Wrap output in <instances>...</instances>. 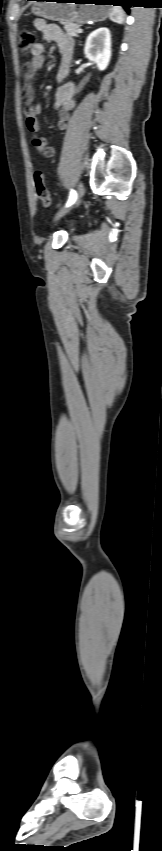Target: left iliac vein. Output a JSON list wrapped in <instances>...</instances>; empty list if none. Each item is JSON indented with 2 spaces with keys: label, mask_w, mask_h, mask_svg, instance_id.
I'll return each instance as SVG.
<instances>
[{
  "label": "left iliac vein",
  "mask_w": 162,
  "mask_h": 851,
  "mask_svg": "<svg viewBox=\"0 0 162 851\" xmlns=\"http://www.w3.org/2000/svg\"><path fill=\"white\" fill-rule=\"evenodd\" d=\"M83 195H84V186H83V183H79L78 186H77V199H76V202H75V206H78L80 204V201H81V198L83 197ZM61 217L62 216L57 217L55 219V222H57Z\"/></svg>",
  "instance_id": "4c4485c4"
}]
</instances>
